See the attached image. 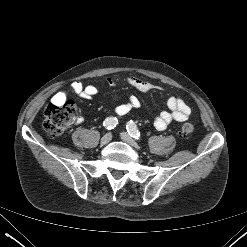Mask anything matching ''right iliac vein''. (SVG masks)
Segmentation results:
<instances>
[{
	"label": "right iliac vein",
	"mask_w": 247,
	"mask_h": 247,
	"mask_svg": "<svg viewBox=\"0 0 247 247\" xmlns=\"http://www.w3.org/2000/svg\"><path fill=\"white\" fill-rule=\"evenodd\" d=\"M112 139V134L111 133H106L102 138H101V144L105 145L109 143Z\"/></svg>",
	"instance_id": "obj_1"
}]
</instances>
